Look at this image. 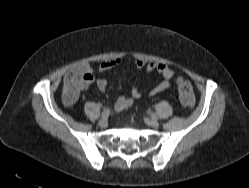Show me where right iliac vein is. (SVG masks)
<instances>
[{
    "label": "right iliac vein",
    "instance_id": "63e3f726",
    "mask_svg": "<svg viewBox=\"0 0 249 188\" xmlns=\"http://www.w3.org/2000/svg\"><path fill=\"white\" fill-rule=\"evenodd\" d=\"M98 124H99L100 127H106L107 124H108V121H107L106 118H102V119L99 120Z\"/></svg>",
    "mask_w": 249,
    "mask_h": 188
}]
</instances>
